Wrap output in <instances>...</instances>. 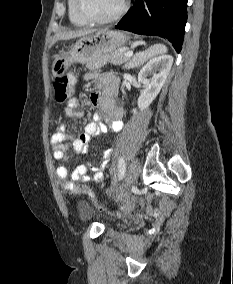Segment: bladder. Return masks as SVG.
<instances>
[{"label":"bladder","mask_w":233,"mask_h":284,"mask_svg":"<svg viewBox=\"0 0 233 284\" xmlns=\"http://www.w3.org/2000/svg\"><path fill=\"white\" fill-rule=\"evenodd\" d=\"M76 213L81 221H89L95 215L92 206L85 200H79L76 203Z\"/></svg>","instance_id":"31cf9c89"}]
</instances>
